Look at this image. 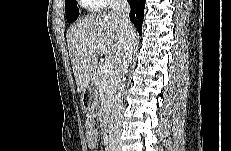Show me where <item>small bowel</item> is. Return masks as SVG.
<instances>
[{
    "label": "small bowel",
    "mask_w": 231,
    "mask_h": 151,
    "mask_svg": "<svg viewBox=\"0 0 231 151\" xmlns=\"http://www.w3.org/2000/svg\"><path fill=\"white\" fill-rule=\"evenodd\" d=\"M85 128L87 145L91 150H94L98 141V134L95 128V115H90L87 117Z\"/></svg>",
    "instance_id": "c3829d8e"
}]
</instances>
